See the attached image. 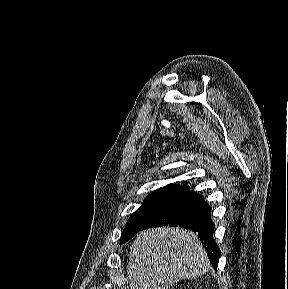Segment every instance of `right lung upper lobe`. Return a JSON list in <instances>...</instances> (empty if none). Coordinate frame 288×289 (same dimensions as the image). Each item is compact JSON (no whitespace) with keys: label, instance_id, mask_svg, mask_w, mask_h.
<instances>
[{"label":"right lung upper lobe","instance_id":"1","mask_svg":"<svg viewBox=\"0 0 288 289\" xmlns=\"http://www.w3.org/2000/svg\"><path fill=\"white\" fill-rule=\"evenodd\" d=\"M165 188H170V189H179V190H186L189 191V188L187 185H177V184H169L165 186Z\"/></svg>","mask_w":288,"mask_h":289}]
</instances>
